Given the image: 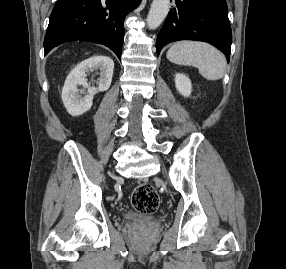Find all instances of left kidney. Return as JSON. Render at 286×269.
Listing matches in <instances>:
<instances>
[{"mask_svg": "<svg viewBox=\"0 0 286 269\" xmlns=\"http://www.w3.org/2000/svg\"><path fill=\"white\" fill-rule=\"evenodd\" d=\"M175 86L178 92L184 96L189 97L192 91V84L188 77L184 74L177 73L175 75Z\"/></svg>", "mask_w": 286, "mask_h": 269, "instance_id": "5707ae66", "label": "left kidney"}]
</instances>
